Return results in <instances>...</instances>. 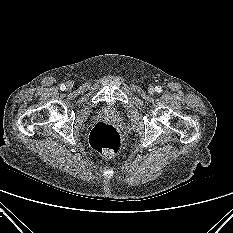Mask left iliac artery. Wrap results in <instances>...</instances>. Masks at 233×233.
Returning <instances> with one entry per match:
<instances>
[{
    "mask_svg": "<svg viewBox=\"0 0 233 233\" xmlns=\"http://www.w3.org/2000/svg\"><path fill=\"white\" fill-rule=\"evenodd\" d=\"M155 90H156L158 93L162 92V88H161V87H156Z\"/></svg>",
    "mask_w": 233,
    "mask_h": 233,
    "instance_id": "44dca946",
    "label": "left iliac artery"
}]
</instances>
